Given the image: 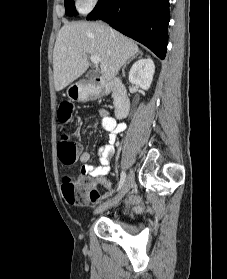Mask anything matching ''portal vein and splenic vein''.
Segmentation results:
<instances>
[{"label":"portal vein and splenic vein","instance_id":"portal-vein-and-splenic-vein-1","mask_svg":"<svg viewBox=\"0 0 227 279\" xmlns=\"http://www.w3.org/2000/svg\"><path fill=\"white\" fill-rule=\"evenodd\" d=\"M89 58H90V61H91L93 64H95V65H97V64L100 63V58L97 57V56L90 55Z\"/></svg>","mask_w":227,"mask_h":279}]
</instances>
